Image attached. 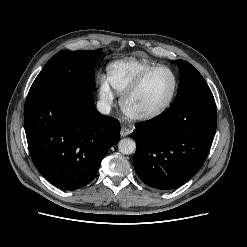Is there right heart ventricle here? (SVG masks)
<instances>
[{
	"mask_svg": "<svg viewBox=\"0 0 247 247\" xmlns=\"http://www.w3.org/2000/svg\"><path fill=\"white\" fill-rule=\"evenodd\" d=\"M153 66L155 64L147 60H117L108 65L106 79L118 94H122L142 72Z\"/></svg>",
	"mask_w": 247,
	"mask_h": 247,
	"instance_id": "right-heart-ventricle-1",
	"label": "right heart ventricle"
}]
</instances>
